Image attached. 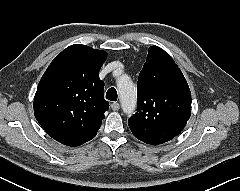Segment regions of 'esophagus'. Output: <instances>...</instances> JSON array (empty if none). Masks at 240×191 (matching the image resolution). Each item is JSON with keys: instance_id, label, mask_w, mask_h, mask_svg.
<instances>
[{"instance_id": "obj_1", "label": "esophagus", "mask_w": 240, "mask_h": 191, "mask_svg": "<svg viewBox=\"0 0 240 191\" xmlns=\"http://www.w3.org/2000/svg\"><path fill=\"white\" fill-rule=\"evenodd\" d=\"M111 109H112L113 111H118V110L120 109L119 103L113 102V103L111 104Z\"/></svg>"}]
</instances>
